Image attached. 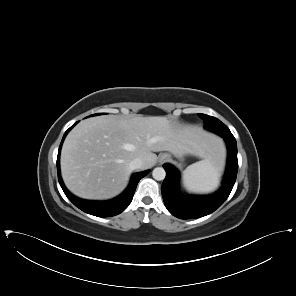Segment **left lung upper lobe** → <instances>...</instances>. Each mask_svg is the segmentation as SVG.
Instances as JSON below:
<instances>
[{
  "label": "left lung upper lobe",
  "mask_w": 296,
  "mask_h": 296,
  "mask_svg": "<svg viewBox=\"0 0 296 296\" xmlns=\"http://www.w3.org/2000/svg\"><path fill=\"white\" fill-rule=\"evenodd\" d=\"M198 115L205 121L204 127L207 130L217 133L220 136H223L224 134L232 135L228 127L217 118L205 114Z\"/></svg>",
  "instance_id": "1"
}]
</instances>
